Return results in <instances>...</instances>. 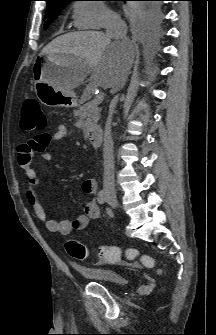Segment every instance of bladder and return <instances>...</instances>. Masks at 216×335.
I'll return each instance as SVG.
<instances>
[{
	"label": "bladder",
	"instance_id": "1",
	"mask_svg": "<svg viewBox=\"0 0 216 335\" xmlns=\"http://www.w3.org/2000/svg\"><path fill=\"white\" fill-rule=\"evenodd\" d=\"M75 270L94 282H103L117 286L126 283L124 275L114 269L76 266Z\"/></svg>",
	"mask_w": 216,
	"mask_h": 335
}]
</instances>
